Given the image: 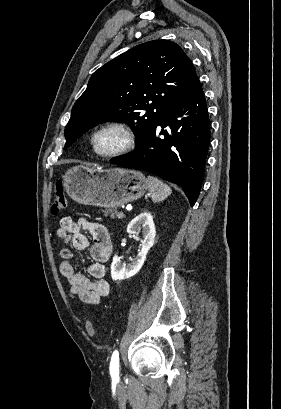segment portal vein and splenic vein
I'll return each instance as SVG.
<instances>
[{
  "label": "portal vein and splenic vein",
  "mask_w": 281,
  "mask_h": 409,
  "mask_svg": "<svg viewBox=\"0 0 281 409\" xmlns=\"http://www.w3.org/2000/svg\"><path fill=\"white\" fill-rule=\"evenodd\" d=\"M118 219L119 220H123L126 219L125 213L124 212H119L117 213Z\"/></svg>",
  "instance_id": "18ae733b"
}]
</instances>
